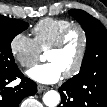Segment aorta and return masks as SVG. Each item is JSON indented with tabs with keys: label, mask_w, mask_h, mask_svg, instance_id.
I'll use <instances>...</instances> for the list:
<instances>
[{
	"label": "aorta",
	"mask_w": 107,
	"mask_h": 107,
	"mask_svg": "<svg viewBox=\"0 0 107 107\" xmlns=\"http://www.w3.org/2000/svg\"><path fill=\"white\" fill-rule=\"evenodd\" d=\"M43 102L47 107H56L60 103V94L55 90H50L44 94Z\"/></svg>",
	"instance_id": "aorta-1"
}]
</instances>
